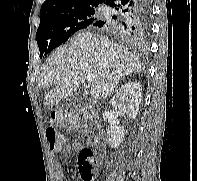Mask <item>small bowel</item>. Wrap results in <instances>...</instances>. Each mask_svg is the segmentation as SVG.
Returning <instances> with one entry per match:
<instances>
[{"label": "small bowel", "mask_w": 197, "mask_h": 181, "mask_svg": "<svg viewBox=\"0 0 197 181\" xmlns=\"http://www.w3.org/2000/svg\"><path fill=\"white\" fill-rule=\"evenodd\" d=\"M81 149V145L79 143H67L64 146V152L67 154L76 152L78 150ZM61 150V148L58 151H54V152H59ZM54 170L56 175L61 178V181H68L65 177H63V169H62V164L61 162H56L54 165Z\"/></svg>", "instance_id": "obj_1"}]
</instances>
